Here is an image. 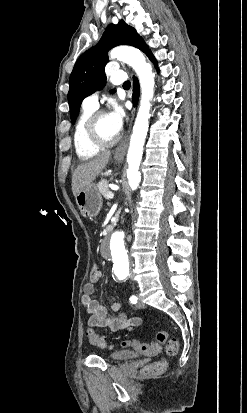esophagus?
Instances as JSON below:
<instances>
[{
  "mask_svg": "<svg viewBox=\"0 0 247 413\" xmlns=\"http://www.w3.org/2000/svg\"><path fill=\"white\" fill-rule=\"evenodd\" d=\"M135 115V109L132 111V118L131 121H133ZM131 130V125L129 126L128 134L130 133ZM128 142H129V136H127L115 149V155L119 159H123L126 153V149L128 147Z\"/></svg>",
  "mask_w": 247,
  "mask_h": 413,
  "instance_id": "esophagus-1",
  "label": "esophagus"
}]
</instances>
